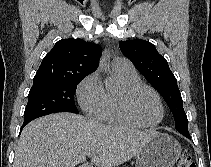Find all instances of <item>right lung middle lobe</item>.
Wrapping results in <instances>:
<instances>
[{
    "instance_id": "1",
    "label": "right lung middle lobe",
    "mask_w": 211,
    "mask_h": 167,
    "mask_svg": "<svg viewBox=\"0 0 211 167\" xmlns=\"http://www.w3.org/2000/svg\"><path fill=\"white\" fill-rule=\"evenodd\" d=\"M82 79L34 83L28 94L24 122L56 112L78 113L74 94Z\"/></svg>"
}]
</instances>
